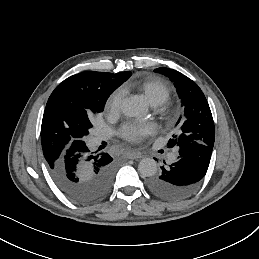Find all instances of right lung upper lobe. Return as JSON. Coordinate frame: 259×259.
Wrapping results in <instances>:
<instances>
[{
	"label": "right lung upper lobe",
	"instance_id": "obj_1",
	"mask_svg": "<svg viewBox=\"0 0 259 259\" xmlns=\"http://www.w3.org/2000/svg\"><path fill=\"white\" fill-rule=\"evenodd\" d=\"M130 76L131 72H82L70 76L54 89L41 126L43 154L48 166H54L67 149L80 143L74 134L85 129L98 106Z\"/></svg>",
	"mask_w": 259,
	"mask_h": 259
}]
</instances>
